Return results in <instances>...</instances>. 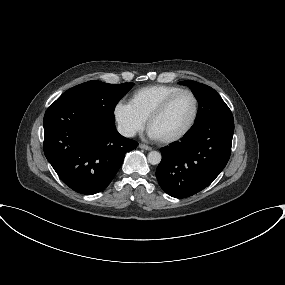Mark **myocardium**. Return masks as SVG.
<instances>
[{"instance_id":"myocardium-1","label":"myocardium","mask_w":285,"mask_h":285,"mask_svg":"<svg viewBox=\"0 0 285 285\" xmlns=\"http://www.w3.org/2000/svg\"><path fill=\"white\" fill-rule=\"evenodd\" d=\"M181 94H189L192 96L193 100H194V112H193V116L189 122V124L185 127L184 130H182L180 133L168 137V138H163V139H157L158 142L162 143V144H172L175 142L180 141L181 139H183L185 136H187L190 131L193 129V127L196 124V121L198 119L199 116V109H200V104H199V99L197 97V95L190 89H181L173 94H171L170 96H168L147 118L146 120V127L147 130L149 131L151 124L158 119L160 116H162L166 110L168 109V107L171 105V103Z\"/></svg>"}]
</instances>
